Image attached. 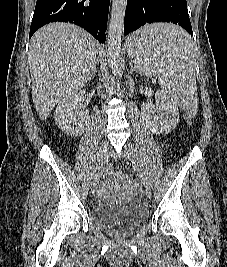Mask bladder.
Here are the masks:
<instances>
[{
  "label": "bladder",
  "instance_id": "obj_1",
  "mask_svg": "<svg viewBox=\"0 0 227 267\" xmlns=\"http://www.w3.org/2000/svg\"><path fill=\"white\" fill-rule=\"evenodd\" d=\"M91 213L95 223L119 235L133 232L148 218L143 203L119 205L100 201L93 204Z\"/></svg>",
  "mask_w": 227,
  "mask_h": 267
}]
</instances>
